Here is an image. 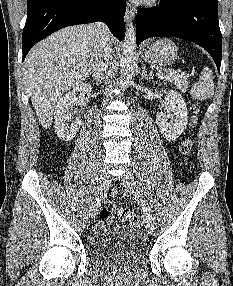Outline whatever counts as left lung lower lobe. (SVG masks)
Wrapping results in <instances>:
<instances>
[{"label":"left lung lower lobe","mask_w":233,"mask_h":286,"mask_svg":"<svg viewBox=\"0 0 233 286\" xmlns=\"http://www.w3.org/2000/svg\"><path fill=\"white\" fill-rule=\"evenodd\" d=\"M150 37H178L203 47L220 73L222 36L217 0H161L137 10L136 41Z\"/></svg>","instance_id":"left-lung-lower-lobe-1"}]
</instances>
